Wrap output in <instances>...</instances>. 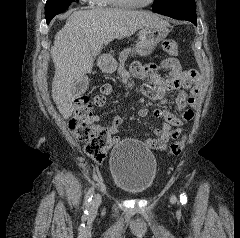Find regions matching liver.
<instances>
[{"mask_svg":"<svg viewBox=\"0 0 240 238\" xmlns=\"http://www.w3.org/2000/svg\"><path fill=\"white\" fill-rule=\"evenodd\" d=\"M160 18L146 11L96 8L74 11L56 34L51 56L55 65L52 98L65 119L73 113L76 83L92 71L94 57L114 39L130 37Z\"/></svg>","mask_w":240,"mask_h":238,"instance_id":"obj_1","label":"liver"}]
</instances>
